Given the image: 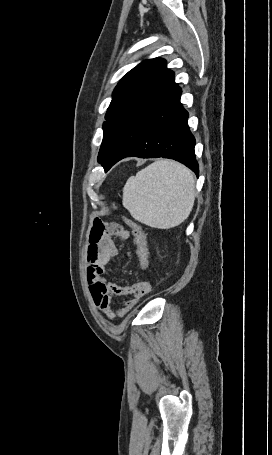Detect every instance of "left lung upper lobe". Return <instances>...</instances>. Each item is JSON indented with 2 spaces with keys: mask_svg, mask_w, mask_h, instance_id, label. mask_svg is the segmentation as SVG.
<instances>
[{
  "mask_svg": "<svg viewBox=\"0 0 272 455\" xmlns=\"http://www.w3.org/2000/svg\"><path fill=\"white\" fill-rule=\"evenodd\" d=\"M174 80V72L161 58L145 60L129 71L117 84L103 123V141L98 162L112 148L128 122Z\"/></svg>",
  "mask_w": 272,
  "mask_h": 455,
  "instance_id": "5c2ea615",
  "label": "left lung upper lobe"
}]
</instances>
